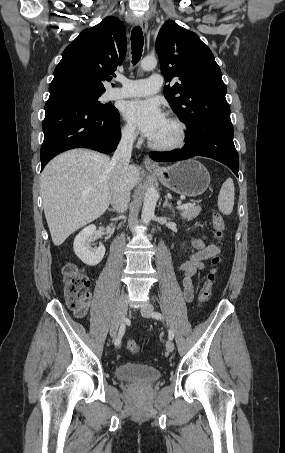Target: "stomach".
<instances>
[{
  "label": "stomach",
  "instance_id": "0dacf381",
  "mask_svg": "<svg viewBox=\"0 0 285 453\" xmlns=\"http://www.w3.org/2000/svg\"><path fill=\"white\" fill-rule=\"evenodd\" d=\"M169 190L182 196L203 194L210 184V174L200 162L188 159L152 171Z\"/></svg>",
  "mask_w": 285,
  "mask_h": 453
}]
</instances>
